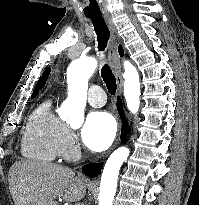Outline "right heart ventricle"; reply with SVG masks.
I'll use <instances>...</instances> for the list:
<instances>
[{"mask_svg":"<svg viewBox=\"0 0 199 205\" xmlns=\"http://www.w3.org/2000/svg\"><path fill=\"white\" fill-rule=\"evenodd\" d=\"M65 128V124L51 110V101H44L27 121L21 142L22 155L42 163L53 162L60 154Z\"/></svg>","mask_w":199,"mask_h":205,"instance_id":"1","label":"right heart ventricle"}]
</instances>
